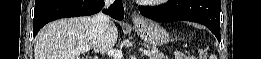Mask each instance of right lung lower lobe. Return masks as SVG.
Returning a JSON list of instances; mask_svg holds the SVG:
<instances>
[{
    "label": "right lung lower lobe",
    "mask_w": 261,
    "mask_h": 59,
    "mask_svg": "<svg viewBox=\"0 0 261 59\" xmlns=\"http://www.w3.org/2000/svg\"><path fill=\"white\" fill-rule=\"evenodd\" d=\"M103 0H36L33 36L48 22L64 18L95 14L103 8ZM112 18L122 20L124 8L122 1L116 0L109 10H104Z\"/></svg>",
    "instance_id": "98d812e1"
}]
</instances>
